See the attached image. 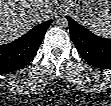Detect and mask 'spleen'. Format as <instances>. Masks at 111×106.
<instances>
[{"mask_svg":"<svg viewBox=\"0 0 111 106\" xmlns=\"http://www.w3.org/2000/svg\"><path fill=\"white\" fill-rule=\"evenodd\" d=\"M88 28L98 36L111 38V15H106L104 18H93L88 24Z\"/></svg>","mask_w":111,"mask_h":106,"instance_id":"spleen-1","label":"spleen"}]
</instances>
